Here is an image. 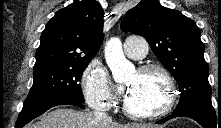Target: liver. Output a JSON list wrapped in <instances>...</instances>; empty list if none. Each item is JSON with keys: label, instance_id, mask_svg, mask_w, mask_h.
I'll list each match as a JSON object with an SVG mask.
<instances>
[{"label": "liver", "instance_id": "liver-1", "mask_svg": "<svg viewBox=\"0 0 221 128\" xmlns=\"http://www.w3.org/2000/svg\"><path fill=\"white\" fill-rule=\"evenodd\" d=\"M29 128H162L152 124L121 125L111 119L96 120L93 113L58 108L44 115Z\"/></svg>", "mask_w": 221, "mask_h": 128}]
</instances>
